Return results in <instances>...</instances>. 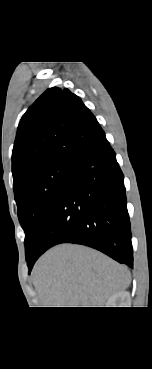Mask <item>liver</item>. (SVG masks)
Here are the masks:
<instances>
[{
  "label": "liver",
  "instance_id": "obj_1",
  "mask_svg": "<svg viewBox=\"0 0 152 369\" xmlns=\"http://www.w3.org/2000/svg\"><path fill=\"white\" fill-rule=\"evenodd\" d=\"M33 284L46 307H101L130 285V272L104 254L62 244L36 263Z\"/></svg>",
  "mask_w": 152,
  "mask_h": 369
}]
</instances>
